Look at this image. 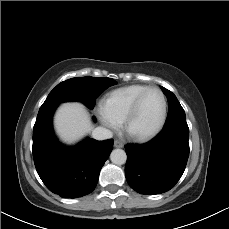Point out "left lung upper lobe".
<instances>
[{
	"instance_id": "obj_1",
	"label": "left lung upper lobe",
	"mask_w": 229,
	"mask_h": 229,
	"mask_svg": "<svg viewBox=\"0 0 229 229\" xmlns=\"http://www.w3.org/2000/svg\"><path fill=\"white\" fill-rule=\"evenodd\" d=\"M161 89L163 93L167 96L168 109H169L165 126L171 125L179 121H186V115L184 109L180 105L174 93H172L171 91H169L164 87H162Z\"/></svg>"
}]
</instances>
